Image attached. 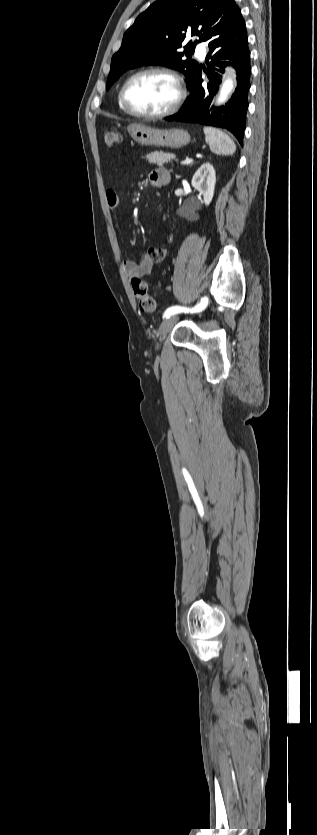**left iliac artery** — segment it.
<instances>
[{
	"label": "left iliac artery",
	"instance_id": "obj_1",
	"mask_svg": "<svg viewBox=\"0 0 317 835\" xmlns=\"http://www.w3.org/2000/svg\"><path fill=\"white\" fill-rule=\"evenodd\" d=\"M207 302H208L207 297H204V298H202V299H201V302H200L199 304H197L196 306H194V307H192V308L181 307V306H172V307H169V308H168V309L164 312L163 317H164V318H165V317H166V318H168V317H170L171 315H174V314H176V313H180V312H192V313H193V312H200V311H202V310H203V309L207 306Z\"/></svg>",
	"mask_w": 317,
	"mask_h": 835
}]
</instances>
